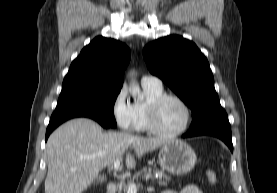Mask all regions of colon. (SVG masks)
Masks as SVG:
<instances>
[{
    "instance_id": "obj_1",
    "label": "colon",
    "mask_w": 277,
    "mask_h": 193,
    "mask_svg": "<svg viewBox=\"0 0 277 193\" xmlns=\"http://www.w3.org/2000/svg\"><path fill=\"white\" fill-rule=\"evenodd\" d=\"M206 177H207L208 182L211 185H215L218 182V175L213 170H207L206 171Z\"/></svg>"
}]
</instances>
